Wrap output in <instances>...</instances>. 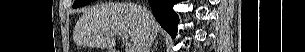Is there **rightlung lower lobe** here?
Listing matches in <instances>:
<instances>
[{"instance_id": "obj_1", "label": "right lung lower lobe", "mask_w": 305, "mask_h": 52, "mask_svg": "<svg viewBox=\"0 0 305 52\" xmlns=\"http://www.w3.org/2000/svg\"><path fill=\"white\" fill-rule=\"evenodd\" d=\"M156 20L172 37H175L179 18L173 6L182 0H148Z\"/></svg>"}]
</instances>
